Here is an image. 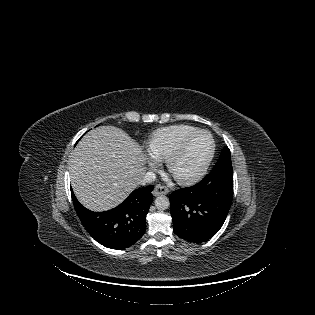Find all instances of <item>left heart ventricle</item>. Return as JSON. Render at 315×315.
<instances>
[{"label": "left heart ventricle", "instance_id": "b2bd125f", "mask_svg": "<svg viewBox=\"0 0 315 315\" xmlns=\"http://www.w3.org/2000/svg\"><path fill=\"white\" fill-rule=\"evenodd\" d=\"M210 150V139L205 134L194 137L185 152L175 162L174 170L178 175H187L197 169L205 161Z\"/></svg>", "mask_w": 315, "mask_h": 315}]
</instances>
